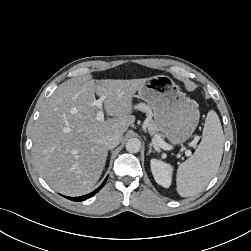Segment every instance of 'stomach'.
I'll return each mask as SVG.
<instances>
[{
	"instance_id": "1",
	"label": "stomach",
	"mask_w": 251,
	"mask_h": 251,
	"mask_svg": "<svg viewBox=\"0 0 251 251\" xmlns=\"http://www.w3.org/2000/svg\"><path fill=\"white\" fill-rule=\"evenodd\" d=\"M138 97L151 106L156 125L172 145L183 144L192 136L200 118L198 105L170 77L149 78Z\"/></svg>"
}]
</instances>
